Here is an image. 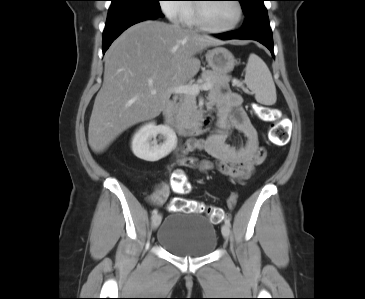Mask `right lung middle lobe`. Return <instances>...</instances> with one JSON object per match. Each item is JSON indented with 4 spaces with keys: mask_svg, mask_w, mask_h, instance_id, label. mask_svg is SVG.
I'll list each match as a JSON object with an SVG mask.
<instances>
[{
    "mask_svg": "<svg viewBox=\"0 0 365 299\" xmlns=\"http://www.w3.org/2000/svg\"><path fill=\"white\" fill-rule=\"evenodd\" d=\"M160 0H111L108 16L133 9L161 10Z\"/></svg>",
    "mask_w": 365,
    "mask_h": 299,
    "instance_id": "dd1d6c3e",
    "label": "right lung middle lobe"
}]
</instances>
